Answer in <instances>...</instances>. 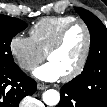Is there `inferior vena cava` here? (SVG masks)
I'll return each instance as SVG.
<instances>
[{
	"label": "inferior vena cava",
	"mask_w": 107,
	"mask_h": 107,
	"mask_svg": "<svg viewBox=\"0 0 107 107\" xmlns=\"http://www.w3.org/2000/svg\"><path fill=\"white\" fill-rule=\"evenodd\" d=\"M34 68H35V65H28V66H27V69H28V70H32V69H34Z\"/></svg>",
	"instance_id": "1"
}]
</instances>
